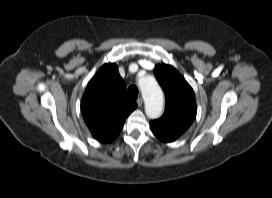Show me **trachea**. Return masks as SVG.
<instances>
[{
    "label": "trachea",
    "instance_id": "trachea-1",
    "mask_svg": "<svg viewBox=\"0 0 272 198\" xmlns=\"http://www.w3.org/2000/svg\"><path fill=\"white\" fill-rule=\"evenodd\" d=\"M128 95L132 98V99H136L138 97V88L135 85H131L128 88Z\"/></svg>",
    "mask_w": 272,
    "mask_h": 198
}]
</instances>
